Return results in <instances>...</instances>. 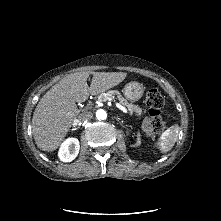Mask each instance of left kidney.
Instances as JSON below:
<instances>
[{"mask_svg":"<svg viewBox=\"0 0 221 221\" xmlns=\"http://www.w3.org/2000/svg\"><path fill=\"white\" fill-rule=\"evenodd\" d=\"M140 144H141V141H140V137L138 135L137 142H136V144L134 146H139Z\"/></svg>","mask_w":221,"mask_h":221,"instance_id":"1","label":"left kidney"}]
</instances>
